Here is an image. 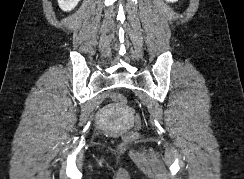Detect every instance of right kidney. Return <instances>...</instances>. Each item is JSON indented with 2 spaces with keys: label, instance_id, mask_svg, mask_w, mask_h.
<instances>
[{
  "label": "right kidney",
  "instance_id": "ca27d5eb",
  "mask_svg": "<svg viewBox=\"0 0 244 179\" xmlns=\"http://www.w3.org/2000/svg\"><path fill=\"white\" fill-rule=\"evenodd\" d=\"M57 2L63 12H71L79 4L80 0H57Z\"/></svg>",
  "mask_w": 244,
  "mask_h": 179
}]
</instances>
